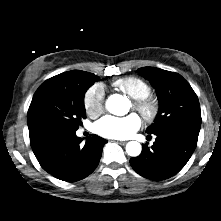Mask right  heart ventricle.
Listing matches in <instances>:
<instances>
[{
  "instance_id": "right-heart-ventricle-1",
  "label": "right heart ventricle",
  "mask_w": 221,
  "mask_h": 221,
  "mask_svg": "<svg viewBox=\"0 0 221 221\" xmlns=\"http://www.w3.org/2000/svg\"><path fill=\"white\" fill-rule=\"evenodd\" d=\"M112 86L133 99L146 98L151 94L150 85L144 80L134 76L118 79L112 83Z\"/></svg>"
}]
</instances>
